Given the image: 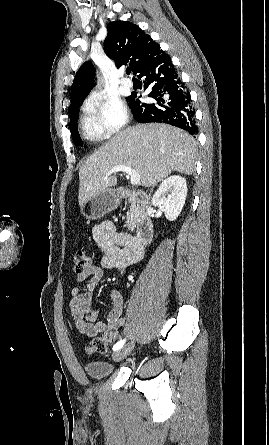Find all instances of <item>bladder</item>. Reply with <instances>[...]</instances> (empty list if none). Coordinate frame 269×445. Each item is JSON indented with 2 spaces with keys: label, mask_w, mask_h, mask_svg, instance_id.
<instances>
[{
  "label": "bladder",
  "mask_w": 269,
  "mask_h": 445,
  "mask_svg": "<svg viewBox=\"0 0 269 445\" xmlns=\"http://www.w3.org/2000/svg\"><path fill=\"white\" fill-rule=\"evenodd\" d=\"M85 373L93 379H103L112 372V366L104 361H91L84 365Z\"/></svg>",
  "instance_id": "bladder-1"
}]
</instances>
